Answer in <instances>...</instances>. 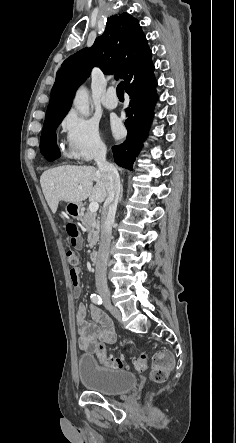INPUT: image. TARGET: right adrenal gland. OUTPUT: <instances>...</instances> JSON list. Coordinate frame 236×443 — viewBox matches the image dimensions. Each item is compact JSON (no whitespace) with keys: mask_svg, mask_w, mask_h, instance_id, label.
Here are the masks:
<instances>
[{"mask_svg":"<svg viewBox=\"0 0 236 443\" xmlns=\"http://www.w3.org/2000/svg\"><path fill=\"white\" fill-rule=\"evenodd\" d=\"M122 198H123V186H122V184H121V186H120L119 203L122 201Z\"/></svg>","mask_w":236,"mask_h":443,"instance_id":"1","label":"right adrenal gland"}]
</instances>
